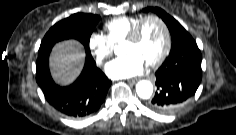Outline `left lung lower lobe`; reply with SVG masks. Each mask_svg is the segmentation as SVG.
<instances>
[{
    "instance_id": "obj_1",
    "label": "left lung lower lobe",
    "mask_w": 236,
    "mask_h": 135,
    "mask_svg": "<svg viewBox=\"0 0 236 135\" xmlns=\"http://www.w3.org/2000/svg\"><path fill=\"white\" fill-rule=\"evenodd\" d=\"M179 26L174 34L181 35ZM201 52L195 43H188L168 58L156 71L157 91L149 107L158 113L169 114L183 106L196 93L201 79Z\"/></svg>"
}]
</instances>
